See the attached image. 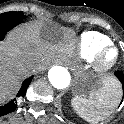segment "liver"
<instances>
[{
    "mask_svg": "<svg viewBox=\"0 0 124 124\" xmlns=\"http://www.w3.org/2000/svg\"><path fill=\"white\" fill-rule=\"evenodd\" d=\"M73 46L69 29L31 24L12 32L0 45V103L12 94L21 78L33 73L31 61L40 70L55 54L71 52Z\"/></svg>",
    "mask_w": 124,
    "mask_h": 124,
    "instance_id": "liver-1",
    "label": "liver"
}]
</instances>
